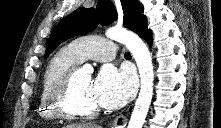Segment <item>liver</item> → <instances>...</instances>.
Instances as JSON below:
<instances>
[{"instance_id":"1","label":"liver","mask_w":221,"mask_h":128,"mask_svg":"<svg viewBox=\"0 0 221 128\" xmlns=\"http://www.w3.org/2000/svg\"><path fill=\"white\" fill-rule=\"evenodd\" d=\"M64 128H97V127L92 124H70L65 126Z\"/></svg>"}]
</instances>
